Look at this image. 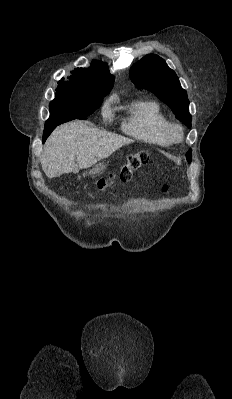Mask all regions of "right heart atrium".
I'll list each match as a JSON object with an SVG mask.
<instances>
[{"instance_id":"obj_1","label":"right heart atrium","mask_w":232,"mask_h":399,"mask_svg":"<svg viewBox=\"0 0 232 399\" xmlns=\"http://www.w3.org/2000/svg\"><path fill=\"white\" fill-rule=\"evenodd\" d=\"M101 116L104 121H108L112 116V108L109 105L102 106Z\"/></svg>"}]
</instances>
